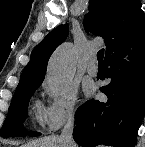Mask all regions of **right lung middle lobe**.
Wrapping results in <instances>:
<instances>
[{
    "mask_svg": "<svg viewBox=\"0 0 145 147\" xmlns=\"http://www.w3.org/2000/svg\"><path fill=\"white\" fill-rule=\"evenodd\" d=\"M38 87L32 86L15 91L8 115L0 130L2 137L26 136L28 134L23 127V122L27 117L29 100ZM29 135L38 136L40 133L30 132Z\"/></svg>",
    "mask_w": 145,
    "mask_h": 147,
    "instance_id": "1",
    "label": "right lung middle lobe"
}]
</instances>
